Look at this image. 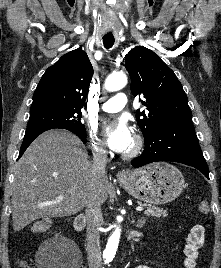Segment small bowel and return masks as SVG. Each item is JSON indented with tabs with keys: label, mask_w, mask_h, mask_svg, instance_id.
I'll return each mask as SVG.
<instances>
[{
	"label": "small bowel",
	"mask_w": 221,
	"mask_h": 268,
	"mask_svg": "<svg viewBox=\"0 0 221 268\" xmlns=\"http://www.w3.org/2000/svg\"><path fill=\"white\" fill-rule=\"evenodd\" d=\"M204 227L200 224H195L191 227L187 237L184 247V267L185 268H195L196 260L199 256L200 250L204 246ZM136 268H151L147 265H141Z\"/></svg>",
	"instance_id": "c3829d8e"
}]
</instances>
